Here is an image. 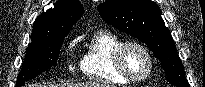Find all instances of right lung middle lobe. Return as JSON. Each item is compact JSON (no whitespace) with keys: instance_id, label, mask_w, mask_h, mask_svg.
I'll return each mask as SVG.
<instances>
[{"instance_id":"obj_1","label":"right lung middle lobe","mask_w":205,"mask_h":87,"mask_svg":"<svg viewBox=\"0 0 205 87\" xmlns=\"http://www.w3.org/2000/svg\"><path fill=\"white\" fill-rule=\"evenodd\" d=\"M65 36L32 40L27 47L22 70L17 78L16 87H20L28 79H32L50 69L52 66L57 65L60 48Z\"/></svg>"}]
</instances>
